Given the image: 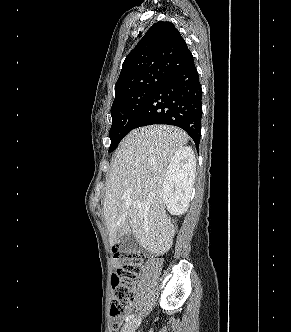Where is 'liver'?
Masks as SVG:
<instances>
[{
    "label": "liver",
    "instance_id": "6515ba94",
    "mask_svg": "<svg viewBox=\"0 0 291 332\" xmlns=\"http://www.w3.org/2000/svg\"><path fill=\"white\" fill-rule=\"evenodd\" d=\"M188 142L179 128L150 125L131 131L115 152L103 204L110 245L132 231L139 245L163 255L175 227L165 211L163 183L175 153Z\"/></svg>",
    "mask_w": 291,
    "mask_h": 332
}]
</instances>
